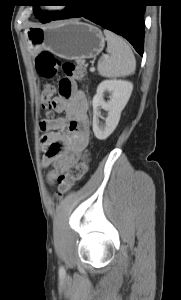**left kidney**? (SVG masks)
<instances>
[{
    "instance_id": "obj_1",
    "label": "left kidney",
    "mask_w": 181,
    "mask_h": 300,
    "mask_svg": "<svg viewBox=\"0 0 181 300\" xmlns=\"http://www.w3.org/2000/svg\"><path fill=\"white\" fill-rule=\"evenodd\" d=\"M133 90V84L121 79H108L102 81L97 87V93L93 97V132L97 139H107L116 129L121 112L126 106ZM110 93V100L104 101V92ZM99 107L108 112L105 124L99 123Z\"/></svg>"
}]
</instances>
